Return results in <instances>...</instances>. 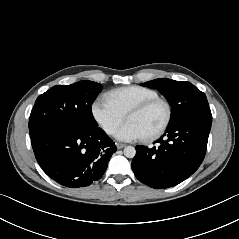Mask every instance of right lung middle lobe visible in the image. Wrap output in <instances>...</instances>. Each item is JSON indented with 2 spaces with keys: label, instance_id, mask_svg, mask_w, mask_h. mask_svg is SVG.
<instances>
[{
  "label": "right lung middle lobe",
  "instance_id": "1",
  "mask_svg": "<svg viewBox=\"0 0 239 239\" xmlns=\"http://www.w3.org/2000/svg\"><path fill=\"white\" fill-rule=\"evenodd\" d=\"M101 90L102 85L87 80L53 86L35 101L29 118L30 137L47 128L87 129L97 126L91 105Z\"/></svg>",
  "mask_w": 239,
  "mask_h": 239
}]
</instances>
